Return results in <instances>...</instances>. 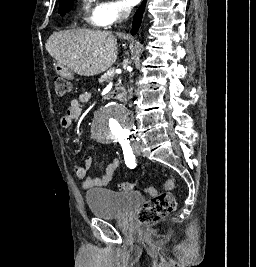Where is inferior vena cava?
<instances>
[{"label":"inferior vena cava","instance_id":"obj_1","mask_svg":"<svg viewBox=\"0 0 256 267\" xmlns=\"http://www.w3.org/2000/svg\"><path fill=\"white\" fill-rule=\"evenodd\" d=\"M130 12H131L130 8H127V6H123V10H122L123 20H126V18H129ZM130 82H132V80H130ZM132 92H133V88H131V86H130V88L128 90V94H129L128 100H131V98H133Z\"/></svg>","mask_w":256,"mask_h":267}]
</instances>
